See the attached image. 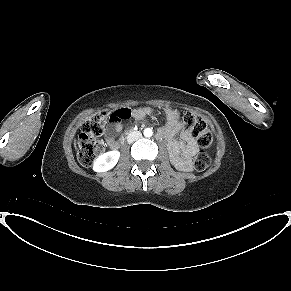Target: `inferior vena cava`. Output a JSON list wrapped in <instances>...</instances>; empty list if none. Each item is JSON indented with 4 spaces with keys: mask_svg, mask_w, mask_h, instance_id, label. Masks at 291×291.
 <instances>
[{
    "mask_svg": "<svg viewBox=\"0 0 291 291\" xmlns=\"http://www.w3.org/2000/svg\"><path fill=\"white\" fill-rule=\"evenodd\" d=\"M142 134L139 131H133L131 133L128 134L127 136V141L129 143H132L133 141L138 140L139 138H141Z\"/></svg>",
    "mask_w": 291,
    "mask_h": 291,
    "instance_id": "obj_1",
    "label": "inferior vena cava"
}]
</instances>
